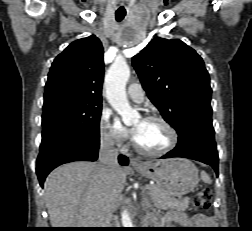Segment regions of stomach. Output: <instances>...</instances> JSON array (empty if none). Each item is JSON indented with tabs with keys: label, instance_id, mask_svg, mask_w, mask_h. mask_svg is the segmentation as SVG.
<instances>
[{
	"label": "stomach",
	"instance_id": "0dacf381",
	"mask_svg": "<svg viewBox=\"0 0 252 231\" xmlns=\"http://www.w3.org/2000/svg\"><path fill=\"white\" fill-rule=\"evenodd\" d=\"M136 171L154 180L162 196L166 198L181 197L193 191L199 182L197 168L191 161L183 158L144 163Z\"/></svg>",
	"mask_w": 252,
	"mask_h": 231
}]
</instances>
